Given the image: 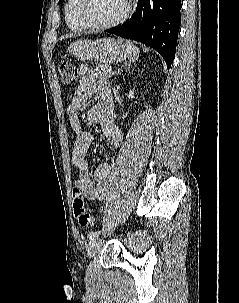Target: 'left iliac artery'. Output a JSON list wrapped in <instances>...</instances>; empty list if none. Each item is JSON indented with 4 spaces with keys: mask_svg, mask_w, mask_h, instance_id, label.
Listing matches in <instances>:
<instances>
[{
    "mask_svg": "<svg viewBox=\"0 0 239 303\" xmlns=\"http://www.w3.org/2000/svg\"><path fill=\"white\" fill-rule=\"evenodd\" d=\"M101 233V231H95L93 232L90 236L89 239L90 241L94 240L95 238H97L99 236V234Z\"/></svg>",
    "mask_w": 239,
    "mask_h": 303,
    "instance_id": "left-iliac-artery-1",
    "label": "left iliac artery"
}]
</instances>
